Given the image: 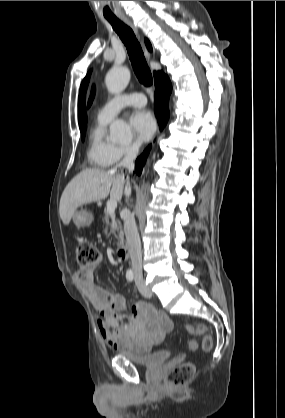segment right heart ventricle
Wrapping results in <instances>:
<instances>
[{
  "mask_svg": "<svg viewBox=\"0 0 285 418\" xmlns=\"http://www.w3.org/2000/svg\"><path fill=\"white\" fill-rule=\"evenodd\" d=\"M109 121L97 118L88 136L87 158L94 167L104 168L113 163L117 145L106 135V125Z\"/></svg>",
  "mask_w": 285,
  "mask_h": 418,
  "instance_id": "1",
  "label": "right heart ventricle"
}]
</instances>
